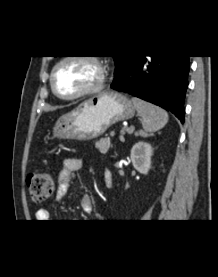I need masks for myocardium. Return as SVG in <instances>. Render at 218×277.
<instances>
[{"label":"myocardium","instance_id":"myocardium-1","mask_svg":"<svg viewBox=\"0 0 218 277\" xmlns=\"http://www.w3.org/2000/svg\"><path fill=\"white\" fill-rule=\"evenodd\" d=\"M71 61H80V62L89 64L95 70L96 75L94 80L87 87H85L84 89H82L81 91H79L74 95L65 96L60 94L56 89L55 75L61 66ZM105 80H106V69L104 65L97 57L89 56V55H67L62 57L59 61H57L54 64L50 75V85L53 93L58 98L62 100H67V101L76 100L81 97L99 92L103 88Z\"/></svg>","mask_w":218,"mask_h":277}]
</instances>
